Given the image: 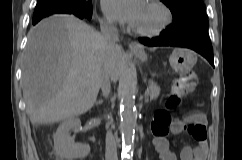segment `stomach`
I'll return each instance as SVG.
<instances>
[{
	"label": "stomach",
	"instance_id": "0dacf381",
	"mask_svg": "<svg viewBox=\"0 0 242 160\" xmlns=\"http://www.w3.org/2000/svg\"><path fill=\"white\" fill-rule=\"evenodd\" d=\"M142 60L146 61L147 57L143 54H137ZM197 61L196 54L186 48H175L169 57L171 67L175 72L180 74L188 73Z\"/></svg>",
	"mask_w": 242,
	"mask_h": 160
}]
</instances>
